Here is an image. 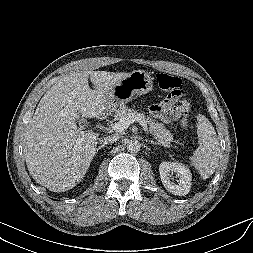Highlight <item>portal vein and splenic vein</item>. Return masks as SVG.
Listing matches in <instances>:
<instances>
[{"instance_id": "18ae733b", "label": "portal vein and splenic vein", "mask_w": 253, "mask_h": 253, "mask_svg": "<svg viewBox=\"0 0 253 253\" xmlns=\"http://www.w3.org/2000/svg\"><path fill=\"white\" fill-rule=\"evenodd\" d=\"M135 121H137L143 127L144 131H148L146 123L143 121L142 116L138 113H132L127 117L121 118L118 122L114 123L111 128L115 132H122ZM177 143L179 142L177 141Z\"/></svg>"}]
</instances>
